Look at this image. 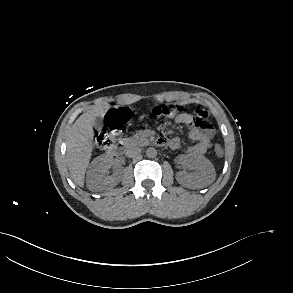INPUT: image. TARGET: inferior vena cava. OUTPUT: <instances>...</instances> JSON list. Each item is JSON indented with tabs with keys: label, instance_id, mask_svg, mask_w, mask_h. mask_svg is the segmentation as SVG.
I'll return each instance as SVG.
<instances>
[{
	"label": "inferior vena cava",
	"instance_id": "602c4592",
	"mask_svg": "<svg viewBox=\"0 0 293 293\" xmlns=\"http://www.w3.org/2000/svg\"><path fill=\"white\" fill-rule=\"evenodd\" d=\"M141 153V149L138 147L130 148L126 151V155L128 157H134L137 156Z\"/></svg>",
	"mask_w": 293,
	"mask_h": 293
}]
</instances>
